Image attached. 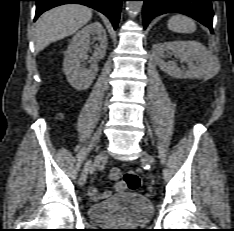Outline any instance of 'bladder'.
I'll return each mask as SVG.
<instances>
[{
    "label": "bladder",
    "instance_id": "31cf9c89",
    "mask_svg": "<svg viewBox=\"0 0 234 231\" xmlns=\"http://www.w3.org/2000/svg\"><path fill=\"white\" fill-rule=\"evenodd\" d=\"M92 220L100 223L116 221L146 223L153 215L150 200L140 193H123L108 201L92 205L88 208Z\"/></svg>",
    "mask_w": 234,
    "mask_h": 231
}]
</instances>
